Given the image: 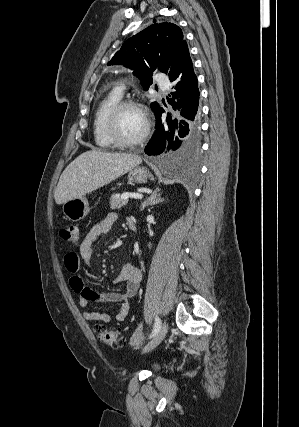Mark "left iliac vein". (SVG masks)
<instances>
[{"label":"left iliac vein","instance_id":"4c4485c4","mask_svg":"<svg viewBox=\"0 0 299 427\" xmlns=\"http://www.w3.org/2000/svg\"><path fill=\"white\" fill-rule=\"evenodd\" d=\"M167 333V323L164 321L161 326L159 331L156 333V335L153 337V339L144 347L143 352H148L152 349H154L155 347H157L162 340L165 338Z\"/></svg>","mask_w":299,"mask_h":427}]
</instances>
